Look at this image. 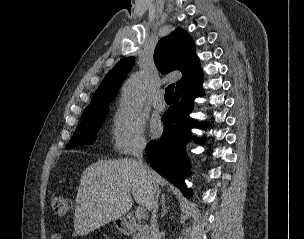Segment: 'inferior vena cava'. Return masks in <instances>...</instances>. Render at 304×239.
Instances as JSON below:
<instances>
[{"instance_id": "obj_1", "label": "inferior vena cava", "mask_w": 304, "mask_h": 239, "mask_svg": "<svg viewBox=\"0 0 304 239\" xmlns=\"http://www.w3.org/2000/svg\"><path fill=\"white\" fill-rule=\"evenodd\" d=\"M146 147L145 141L139 142L136 147L134 148V158L137 162L139 168L141 169L142 175L145 176L148 181L150 182V189H151V234L153 239H157L159 229L157 223V210H158V198H159V189L155 185L154 179L152 177L151 171L144 165L143 163V151Z\"/></svg>"}]
</instances>
